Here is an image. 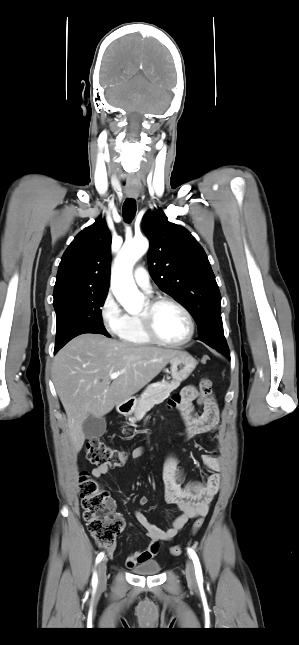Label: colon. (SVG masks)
<instances>
[{
  "label": "colon",
  "mask_w": 299,
  "mask_h": 645,
  "mask_svg": "<svg viewBox=\"0 0 299 645\" xmlns=\"http://www.w3.org/2000/svg\"><path fill=\"white\" fill-rule=\"evenodd\" d=\"M210 360L208 355L201 358L202 364H208ZM200 391V402L202 403L211 392L209 379L204 378L200 382ZM87 458L93 464L115 468L125 463L127 454L124 451L110 448L101 440L93 438L87 444ZM80 497L84 519L97 545L100 548L111 549L125 525L123 518L116 511L114 500L87 473H83L80 477ZM203 523L202 516L196 519L192 528L193 534L199 531ZM170 553L178 556L182 553V547L172 546Z\"/></svg>",
  "instance_id": "colon-1"
}]
</instances>
